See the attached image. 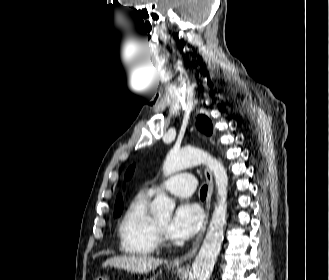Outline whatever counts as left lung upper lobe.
<instances>
[{
    "mask_svg": "<svg viewBox=\"0 0 329 280\" xmlns=\"http://www.w3.org/2000/svg\"><path fill=\"white\" fill-rule=\"evenodd\" d=\"M197 127L204 132L205 134H211L213 131V127H212V123L211 121L208 119V117L204 116V115H199L197 118V123H196ZM134 172V167L131 166L130 168H128L124 179L128 180L132 177ZM123 208V201H122V197L121 195L117 196L116 199V203H115V212H114V216L116 217L117 215L121 214Z\"/></svg>",
    "mask_w": 329,
    "mask_h": 280,
    "instance_id": "1",
    "label": "left lung upper lobe"
}]
</instances>
